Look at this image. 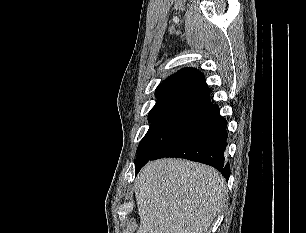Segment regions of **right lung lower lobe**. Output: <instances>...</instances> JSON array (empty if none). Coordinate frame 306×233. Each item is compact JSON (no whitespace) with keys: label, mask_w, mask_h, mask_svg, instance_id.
<instances>
[{"label":"right lung lower lobe","mask_w":306,"mask_h":233,"mask_svg":"<svg viewBox=\"0 0 306 233\" xmlns=\"http://www.w3.org/2000/svg\"><path fill=\"white\" fill-rule=\"evenodd\" d=\"M226 128L227 121L220 116L218 105H211L149 160L179 157L201 162L217 168L228 180L230 165L226 162ZM145 164L135 169L136 175Z\"/></svg>","instance_id":"obj_1"}]
</instances>
